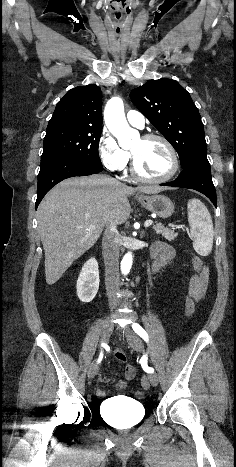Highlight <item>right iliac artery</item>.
<instances>
[{"mask_svg":"<svg viewBox=\"0 0 236 467\" xmlns=\"http://www.w3.org/2000/svg\"><path fill=\"white\" fill-rule=\"evenodd\" d=\"M101 346H102V347H105V343H102V344H101ZM102 358H103V351H101V353H100V355H99V358H98L97 362H98V363H100V362H101V360H102Z\"/></svg>","mask_w":236,"mask_h":467,"instance_id":"1","label":"right iliac artery"}]
</instances>
